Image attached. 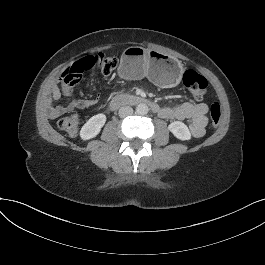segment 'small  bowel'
<instances>
[{"mask_svg": "<svg viewBox=\"0 0 265 265\" xmlns=\"http://www.w3.org/2000/svg\"><path fill=\"white\" fill-rule=\"evenodd\" d=\"M72 88H63L64 95L71 97L67 107H52L50 109V116L56 118L72 109H86L95 105V99H76L72 97ZM60 90L57 86L52 89V98L57 100L60 98ZM208 106L205 103H189L183 102L171 107H163L161 114L164 119L169 120H190L189 129L191 135L195 138H200L205 134V127L207 125L206 114Z\"/></svg>", "mask_w": 265, "mask_h": 265, "instance_id": "1", "label": "small bowel"}]
</instances>
